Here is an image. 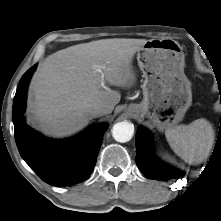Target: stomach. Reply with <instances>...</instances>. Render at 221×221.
Returning a JSON list of instances; mask_svg holds the SVG:
<instances>
[{
    "label": "stomach",
    "mask_w": 221,
    "mask_h": 221,
    "mask_svg": "<svg viewBox=\"0 0 221 221\" xmlns=\"http://www.w3.org/2000/svg\"><path fill=\"white\" fill-rule=\"evenodd\" d=\"M181 45L170 38L148 40L137 53L143 72V100L130 104L126 111L140 119H149L159 130L174 127L192 103V91L184 74Z\"/></svg>",
    "instance_id": "0dacf381"
}]
</instances>
